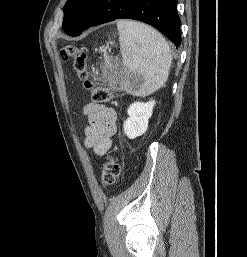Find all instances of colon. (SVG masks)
Returning <instances> with one entry per match:
<instances>
[{
	"label": "colon",
	"mask_w": 247,
	"mask_h": 257,
	"mask_svg": "<svg viewBox=\"0 0 247 257\" xmlns=\"http://www.w3.org/2000/svg\"><path fill=\"white\" fill-rule=\"evenodd\" d=\"M62 60H72V65L83 88L89 90L96 103H107L112 100V92L103 86L94 84L89 78L86 53L76 44H68L60 51ZM121 167L116 155H109L101 173V183L104 187L114 185L120 175Z\"/></svg>",
	"instance_id": "5ec220e1"
}]
</instances>
